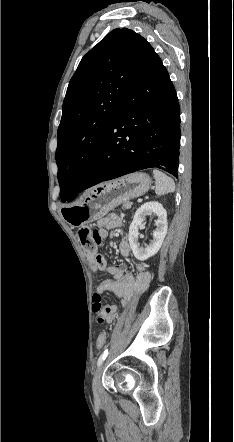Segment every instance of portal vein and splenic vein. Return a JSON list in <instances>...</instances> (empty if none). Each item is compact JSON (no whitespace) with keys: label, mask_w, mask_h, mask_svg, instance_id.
<instances>
[{"label":"portal vein and splenic vein","mask_w":234,"mask_h":442,"mask_svg":"<svg viewBox=\"0 0 234 442\" xmlns=\"http://www.w3.org/2000/svg\"><path fill=\"white\" fill-rule=\"evenodd\" d=\"M138 202H142V199H138Z\"/></svg>","instance_id":"obj_1"}]
</instances>
